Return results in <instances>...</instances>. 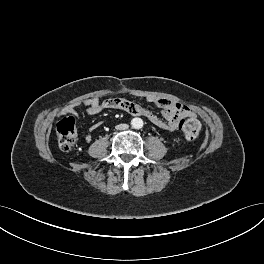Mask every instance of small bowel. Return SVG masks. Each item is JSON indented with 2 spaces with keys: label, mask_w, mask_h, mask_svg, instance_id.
<instances>
[{
  "label": "small bowel",
  "mask_w": 264,
  "mask_h": 264,
  "mask_svg": "<svg viewBox=\"0 0 264 264\" xmlns=\"http://www.w3.org/2000/svg\"><path fill=\"white\" fill-rule=\"evenodd\" d=\"M146 99L147 101L155 103L162 108V118L142 106L124 98H109L105 100H101L99 98H89L83 101V105L86 106V113L88 115L99 114L105 109H120L131 115L145 116L157 127L168 131L177 130L183 117L194 116L193 111L188 106L178 102L164 98H155L153 96H147ZM75 107L76 106L68 107L67 112L75 113ZM85 139L87 142H91L92 137L91 135H86Z\"/></svg>",
  "instance_id": "small-bowel-1"
}]
</instances>
